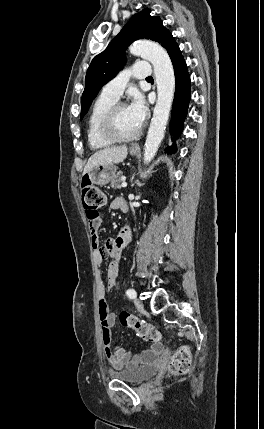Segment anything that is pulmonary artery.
<instances>
[{
    "instance_id": "e3ab8cb5",
    "label": "pulmonary artery",
    "mask_w": 264,
    "mask_h": 429,
    "mask_svg": "<svg viewBox=\"0 0 264 429\" xmlns=\"http://www.w3.org/2000/svg\"><path fill=\"white\" fill-rule=\"evenodd\" d=\"M152 69L148 62L141 61L135 63L130 69L122 71L118 76L105 84L102 88V95L118 100L127 86L129 78L145 79L151 76Z\"/></svg>"
}]
</instances>
